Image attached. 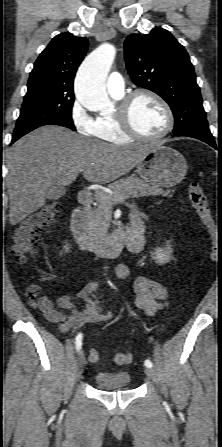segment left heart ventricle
Masks as SVG:
<instances>
[{
    "mask_svg": "<svg viewBox=\"0 0 222 447\" xmlns=\"http://www.w3.org/2000/svg\"><path fill=\"white\" fill-rule=\"evenodd\" d=\"M131 121L135 129L147 136L161 133L166 125V115L162 107L152 98L141 95L131 108Z\"/></svg>",
    "mask_w": 222,
    "mask_h": 447,
    "instance_id": "obj_1",
    "label": "left heart ventricle"
}]
</instances>
